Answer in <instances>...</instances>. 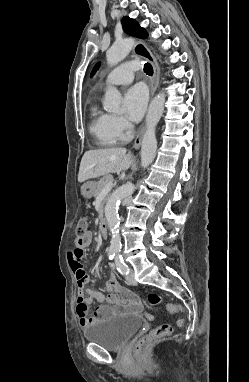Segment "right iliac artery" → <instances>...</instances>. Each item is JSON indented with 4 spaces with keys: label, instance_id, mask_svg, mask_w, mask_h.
I'll list each match as a JSON object with an SVG mask.
<instances>
[{
    "label": "right iliac artery",
    "instance_id": "right-iliac-artery-1",
    "mask_svg": "<svg viewBox=\"0 0 249 382\" xmlns=\"http://www.w3.org/2000/svg\"><path fill=\"white\" fill-rule=\"evenodd\" d=\"M115 254H116V251H115V250H110V251H109V259H113L114 256H115Z\"/></svg>",
    "mask_w": 249,
    "mask_h": 382
}]
</instances>
